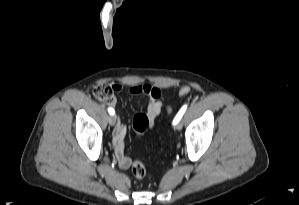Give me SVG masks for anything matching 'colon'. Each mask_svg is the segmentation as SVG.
Segmentation results:
<instances>
[{"mask_svg": "<svg viewBox=\"0 0 299 205\" xmlns=\"http://www.w3.org/2000/svg\"><path fill=\"white\" fill-rule=\"evenodd\" d=\"M115 87L109 83H98L93 89L94 96L103 103L113 104L115 101ZM192 92L190 87H183L179 91V96H186ZM172 108H168L170 113ZM133 129L136 135L141 136L149 126V120L145 114H137L133 119ZM131 173L136 180H143L147 175V170L143 163L139 161L133 162Z\"/></svg>", "mask_w": 299, "mask_h": 205, "instance_id": "1", "label": "colon"}]
</instances>
